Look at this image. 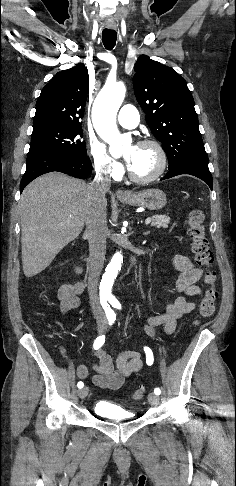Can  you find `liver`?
<instances>
[{
	"label": "liver",
	"instance_id": "6515ba94",
	"mask_svg": "<svg viewBox=\"0 0 236 486\" xmlns=\"http://www.w3.org/2000/svg\"><path fill=\"white\" fill-rule=\"evenodd\" d=\"M89 185L59 172L32 181L20 199L22 266L26 277L46 269L86 222Z\"/></svg>",
	"mask_w": 236,
	"mask_h": 486
}]
</instances>
